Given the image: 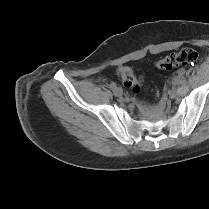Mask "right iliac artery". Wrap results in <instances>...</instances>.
Listing matches in <instances>:
<instances>
[{"mask_svg": "<svg viewBox=\"0 0 209 209\" xmlns=\"http://www.w3.org/2000/svg\"><path fill=\"white\" fill-rule=\"evenodd\" d=\"M110 88H111V89H115V88H116V83H115V82H112V83L110 84Z\"/></svg>", "mask_w": 209, "mask_h": 209, "instance_id": "right-iliac-artery-1", "label": "right iliac artery"}]
</instances>
